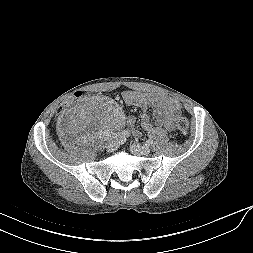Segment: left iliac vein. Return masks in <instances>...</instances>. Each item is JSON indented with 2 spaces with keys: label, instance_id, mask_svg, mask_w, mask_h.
<instances>
[{
  "label": "left iliac vein",
  "instance_id": "left-iliac-vein-1",
  "mask_svg": "<svg viewBox=\"0 0 253 253\" xmlns=\"http://www.w3.org/2000/svg\"><path fill=\"white\" fill-rule=\"evenodd\" d=\"M130 150L135 155H148L150 153V148L148 146L140 145L138 143L131 144Z\"/></svg>",
  "mask_w": 253,
  "mask_h": 253
}]
</instances>
